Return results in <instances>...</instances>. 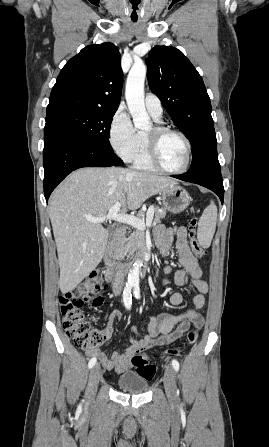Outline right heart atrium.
<instances>
[{
	"label": "right heart atrium",
	"mask_w": 269,
	"mask_h": 447,
	"mask_svg": "<svg viewBox=\"0 0 269 447\" xmlns=\"http://www.w3.org/2000/svg\"><path fill=\"white\" fill-rule=\"evenodd\" d=\"M109 143L124 160L130 161L137 148L138 132L127 111L118 108L113 114L108 130Z\"/></svg>",
	"instance_id": "1"
}]
</instances>
